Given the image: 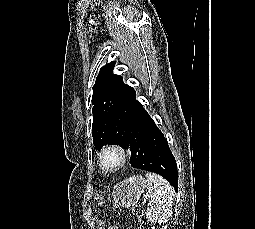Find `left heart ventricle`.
I'll return each mask as SVG.
<instances>
[{
  "label": "left heart ventricle",
  "instance_id": "left-heart-ventricle-1",
  "mask_svg": "<svg viewBox=\"0 0 255 229\" xmlns=\"http://www.w3.org/2000/svg\"><path fill=\"white\" fill-rule=\"evenodd\" d=\"M118 160V156L115 153H108L105 156V161L107 164H114Z\"/></svg>",
  "mask_w": 255,
  "mask_h": 229
}]
</instances>
